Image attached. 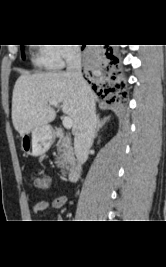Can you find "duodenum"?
Returning a JSON list of instances; mask_svg holds the SVG:
<instances>
[{
    "instance_id": "1",
    "label": "duodenum",
    "mask_w": 166,
    "mask_h": 267,
    "mask_svg": "<svg viewBox=\"0 0 166 267\" xmlns=\"http://www.w3.org/2000/svg\"><path fill=\"white\" fill-rule=\"evenodd\" d=\"M55 135L57 137H61V136H63V131L58 129V130H56ZM81 172H82L81 165H79V164L72 165L69 168L68 173H67L68 180L71 181V182L72 181H76L79 178Z\"/></svg>"
}]
</instances>
